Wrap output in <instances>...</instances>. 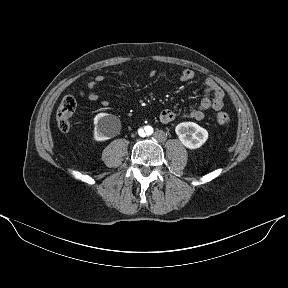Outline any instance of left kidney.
Returning <instances> with one entry per match:
<instances>
[{
  "label": "left kidney",
  "instance_id": "obj_1",
  "mask_svg": "<svg viewBox=\"0 0 288 288\" xmlns=\"http://www.w3.org/2000/svg\"><path fill=\"white\" fill-rule=\"evenodd\" d=\"M180 142L189 149L201 147L208 139V131L194 122H182L175 127Z\"/></svg>",
  "mask_w": 288,
  "mask_h": 288
}]
</instances>
